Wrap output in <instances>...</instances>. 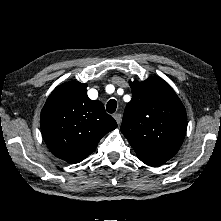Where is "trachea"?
Wrapping results in <instances>:
<instances>
[{"label":"trachea","mask_w":221,"mask_h":221,"mask_svg":"<svg viewBox=\"0 0 221 221\" xmlns=\"http://www.w3.org/2000/svg\"><path fill=\"white\" fill-rule=\"evenodd\" d=\"M117 102L115 99H110L107 103L106 110L108 113L112 114L116 111Z\"/></svg>","instance_id":"trachea-1"}]
</instances>
